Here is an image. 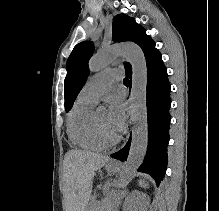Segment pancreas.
Returning a JSON list of instances; mask_svg holds the SVG:
<instances>
[{"label": "pancreas", "instance_id": "pancreas-1", "mask_svg": "<svg viewBox=\"0 0 219 211\" xmlns=\"http://www.w3.org/2000/svg\"><path fill=\"white\" fill-rule=\"evenodd\" d=\"M116 195L115 193L113 194ZM113 195H106L105 199L99 200H90L89 204L91 207L87 208V211H116V205L119 203V200L122 199L121 195H116L115 199ZM100 204L102 207H100Z\"/></svg>", "mask_w": 219, "mask_h": 211}]
</instances>
